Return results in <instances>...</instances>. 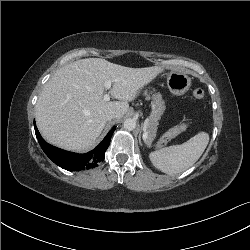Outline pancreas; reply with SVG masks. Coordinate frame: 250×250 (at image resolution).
<instances>
[{
	"label": "pancreas",
	"instance_id": "1",
	"mask_svg": "<svg viewBox=\"0 0 250 250\" xmlns=\"http://www.w3.org/2000/svg\"><path fill=\"white\" fill-rule=\"evenodd\" d=\"M146 95V98L152 99V112L149 117V122L147 123V129H148V137L147 142L148 144H151L154 138L156 137L157 133V125L158 120L161 118V115L163 114L165 110V102L162 99V96L160 93H154L152 96L148 94L147 91L144 92ZM175 136L174 129H171L170 131L166 132L163 137L160 139L161 142L166 143L167 139H171Z\"/></svg>",
	"mask_w": 250,
	"mask_h": 250
}]
</instances>
